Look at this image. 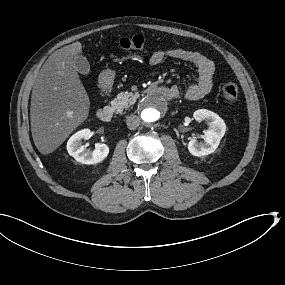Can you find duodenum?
<instances>
[{"instance_id": "410a0bca", "label": "duodenum", "mask_w": 285, "mask_h": 285, "mask_svg": "<svg viewBox=\"0 0 285 285\" xmlns=\"http://www.w3.org/2000/svg\"><path fill=\"white\" fill-rule=\"evenodd\" d=\"M101 88L106 90L107 84L102 83ZM149 92L160 95L166 99H174L177 93L170 87L153 85L149 88ZM97 118L102 122H109L113 118V109L109 106L102 107L97 111Z\"/></svg>"}]
</instances>
